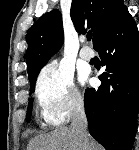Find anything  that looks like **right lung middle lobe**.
<instances>
[{
  "label": "right lung middle lobe",
  "mask_w": 139,
  "mask_h": 150,
  "mask_svg": "<svg viewBox=\"0 0 139 150\" xmlns=\"http://www.w3.org/2000/svg\"><path fill=\"white\" fill-rule=\"evenodd\" d=\"M37 75L33 80L30 81V91H34L35 89V82H36ZM32 111V100H29L28 110H27V121H30Z\"/></svg>",
  "instance_id": "dd1d6c3e"
}]
</instances>
